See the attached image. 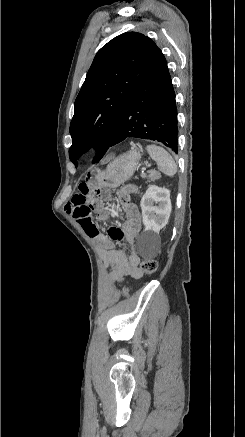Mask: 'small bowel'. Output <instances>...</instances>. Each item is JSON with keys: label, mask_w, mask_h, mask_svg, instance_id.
<instances>
[{"label": "small bowel", "mask_w": 245, "mask_h": 437, "mask_svg": "<svg viewBox=\"0 0 245 437\" xmlns=\"http://www.w3.org/2000/svg\"><path fill=\"white\" fill-rule=\"evenodd\" d=\"M77 193L67 203L66 212L71 215L82 227L84 232L94 240L102 258L105 261V268L111 269L110 280L113 283H120L126 277L139 278L142 272L139 268L140 258L134 251L127 255L120 248L115 247V242L126 241L133 245L141 229V214L135 203H125L122 209L126 219L122 227L112 226L108 234H102L97 229L91 218V203H85L87 193L91 190L90 183H77ZM111 210L103 211L99 219L106 221Z\"/></svg>", "instance_id": "obj_1"}]
</instances>
